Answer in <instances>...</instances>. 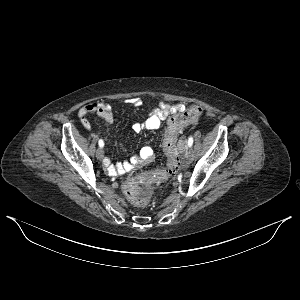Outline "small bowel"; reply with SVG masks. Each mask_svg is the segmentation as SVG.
Segmentation results:
<instances>
[{"instance_id":"1","label":"small bowel","mask_w":300,"mask_h":300,"mask_svg":"<svg viewBox=\"0 0 300 300\" xmlns=\"http://www.w3.org/2000/svg\"><path fill=\"white\" fill-rule=\"evenodd\" d=\"M128 103L137 107L142 104V101L140 98L135 97L129 99ZM183 108V104L169 105L161 102L159 103L158 107L152 110V112L144 121L135 122L132 125V129L136 133L141 132L143 129H157L168 116L179 110H182ZM91 114H97L108 124L112 123L114 120L111 105L101 102L89 103L80 108L78 111L80 122L86 130L91 128V124L88 119V116ZM153 156V150L150 147L145 146L142 147L138 154L132 157L130 161L113 164L111 159L106 157L103 161V165L109 174L121 175L134 168L150 163L153 160Z\"/></svg>"}]
</instances>
